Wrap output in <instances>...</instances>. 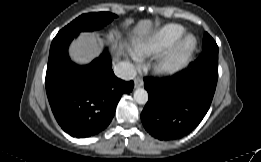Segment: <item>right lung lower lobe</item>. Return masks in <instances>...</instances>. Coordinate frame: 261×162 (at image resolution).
Returning <instances> with one entry per match:
<instances>
[{
  "instance_id": "obj_1",
  "label": "right lung lower lobe",
  "mask_w": 261,
  "mask_h": 162,
  "mask_svg": "<svg viewBox=\"0 0 261 162\" xmlns=\"http://www.w3.org/2000/svg\"><path fill=\"white\" fill-rule=\"evenodd\" d=\"M77 35L53 39L45 84L58 124L71 136L85 138L110 124L122 94L131 92L134 82H125L114 75L106 50L89 65L72 63L68 46Z\"/></svg>"
}]
</instances>
